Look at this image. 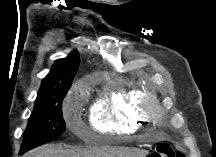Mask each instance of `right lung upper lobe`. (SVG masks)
<instances>
[{"label":"right lung upper lobe","mask_w":216,"mask_h":157,"mask_svg":"<svg viewBox=\"0 0 216 157\" xmlns=\"http://www.w3.org/2000/svg\"><path fill=\"white\" fill-rule=\"evenodd\" d=\"M79 63L78 51H73L67 58L56 60L49 74L42 80L35 105L64 88H70Z\"/></svg>","instance_id":"cb5924a9"}]
</instances>
